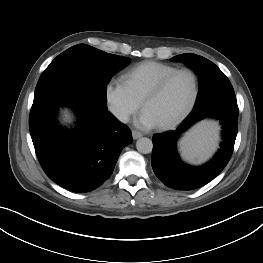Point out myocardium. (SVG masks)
<instances>
[{
    "label": "myocardium",
    "instance_id": "f54148a6",
    "mask_svg": "<svg viewBox=\"0 0 263 263\" xmlns=\"http://www.w3.org/2000/svg\"><path fill=\"white\" fill-rule=\"evenodd\" d=\"M179 74H188L191 76L192 80H193V95L192 98L188 104V106L185 108V110L179 115L177 116L175 119H173L172 121L165 123V124H161L158 125V128L161 130H169L172 129L174 127H176L178 124H180L194 109L198 97H199V93H200V83H199V78L197 76V74L188 68H182V69H177L169 74H167L166 76H164L163 78H161L153 87L152 89L144 96V98L142 99V107L144 108L145 105L151 101L152 99L156 98L157 96H159L162 91L165 89V87L168 85V83L177 75Z\"/></svg>",
    "mask_w": 263,
    "mask_h": 263
}]
</instances>
